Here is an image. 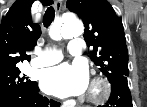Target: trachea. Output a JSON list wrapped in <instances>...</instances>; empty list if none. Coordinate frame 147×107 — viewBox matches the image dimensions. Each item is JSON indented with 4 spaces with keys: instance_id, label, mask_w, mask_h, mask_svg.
Returning <instances> with one entry per match:
<instances>
[{
    "instance_id": "1",
    "label": "trachea",
    "mask_w": 147,
    "mask_h": 107,
    "mask_svg": "<svg viewBox=\"0 0 147 107\" xmlns=\"http://www.w3.org/2000/svg\"><path fill=\"white\" fill-rule=\"evenodd\" d=\"M54 17H55V10L52 6H50L47 8L44 14V18H43L44 27L48 28L51 25Z\"/></svg>"
}]
</instances>
